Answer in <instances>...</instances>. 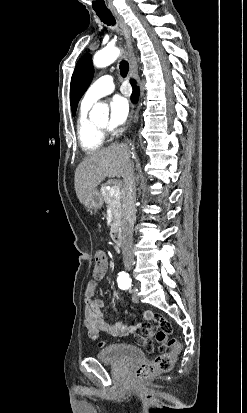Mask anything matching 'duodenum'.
Wrapping results in <instances>:
<instances>
[{
	"mask_svg": "<svg viewBox=\"0 0 247 413\" xmlns=\"http://www.w3.org/2000/svg\"><path fill=\"white\" fill-rule=\"evenodd\" d=\"M109 236H110V241L113 245H121L122 235H121V232L117 228H112Z\"/></svg>",
	"mask_w": 247,
	"mask_h": 413,
	"instance_id": "410a0bca",
	"label": "duodenum"
}]
</instances>
